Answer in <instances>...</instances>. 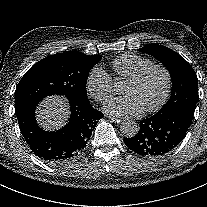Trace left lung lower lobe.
Here are the masks:
<instances>
[{
    "mask_svg": "<svg viewBox=\"0 0 207 207\" xmlns=\"http://www.w3.org/2000/svg\"><path fill=\"white\" fill-rule=\"evenodd\" d=\"M191 122L192 117L179 110L157 113L142 120L137 135L125 138L124 142L141 156H164L185 138Z\"/></svg>",
    "mask_w": 207,
    "mask_h": 207,
    "instance_id": "0a47b994",
    "label": "left lung lower lobe"
}]
</instances>
